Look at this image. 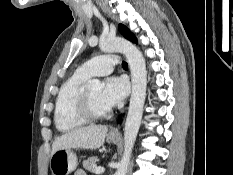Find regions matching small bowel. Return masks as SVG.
<instances>
[{"label": "small bowel", "mask_w": 233, "mask_h": 175, "mask_svg": "<svg viewBox=\"0 0 233 175\" xmlns=\"http://www.w3.org/2000/svg\"><path fill=\"white\" fill-rule=\"evenodd\" d=\"M74 175H86L83 170H77Z\"/></svg>", "instance_id": "c3829d8e"}]
</instances>
